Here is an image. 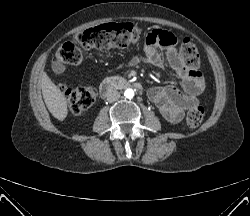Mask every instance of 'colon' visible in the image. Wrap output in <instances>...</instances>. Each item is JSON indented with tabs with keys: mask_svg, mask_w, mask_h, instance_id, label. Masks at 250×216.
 Wrapping results in <instances>:
<instances>
[{
	"mask_svg": "<svg viewBox=\"0 0 250 216\" xmlns=\"http://www.w3.org/2000/svg\"><path fill=\"white\" fill-rule=\"evenodd\" d=\"M141 39L140 29L131 23H105L77 33L71 40L61 44L57 51L60 62L77 65L82 61L81 48L84 49H109L127 48L136 45ZM180 58L183 66L189 71H197L200 66L198 50L193 42L184 39L180 48ZM69 110L79 115L86 111L95 101L96 93L92 87L82 86L70 88L61 87ZM204 108L193 107L187 114V123L197 127L204 118Z\"/></svg>",
	"mask_w": 250,
	"mask_h": 216,
	"instance_id": "1",
	"label": "colon"
}]
</instances>
